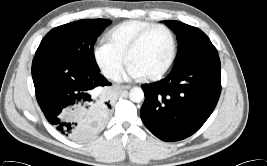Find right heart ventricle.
I'll list each match as a JSON object with an SVG mask.
<instances>
[{"mask_svg": "<svg viewBox=\"0 0 267 166\" xmlns=\"http://www.w3.org/2000/svg\"><path fill=\"white\" fill-rule=\"evenodd\" d=\"M142 28L137 24L123 26L114 32L111 42L117 48H124L135 35L143 30Z\"/></svg>", "mask_w": 267, "mask_h": 166, "instance_id": "1", "label": "right heart ventricle"}]
</instances>
